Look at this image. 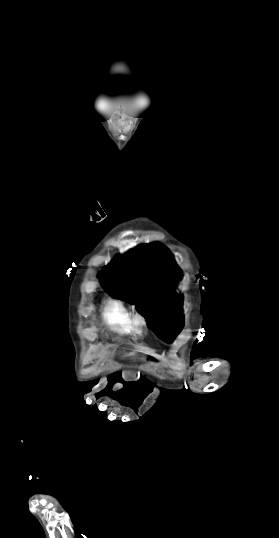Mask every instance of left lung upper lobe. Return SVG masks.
I'll list each match as a JSON object with an SVG mask.
<instances>
[{"instance_id": "1", "label": "left lung upper lobe", "mask_w": 279, "mask_h": 538, "mask_svg": "<svg viewBox=\"0 0 279 538\" xmlns=\"http://www.w3.org/2000/svg\"><path fill=\"white\" fill-rule=\"evenodd\" d=\"M99 277L107 293L135 304L159 338L177 336L182 330V300L174 290L181 275L167 247L139 245L122 257L117 255Z\"/></svg>"}]
</instances>
